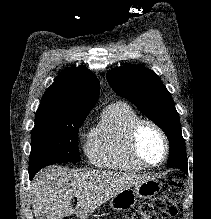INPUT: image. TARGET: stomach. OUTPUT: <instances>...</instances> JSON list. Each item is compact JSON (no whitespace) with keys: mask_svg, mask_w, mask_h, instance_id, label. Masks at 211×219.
Segmentation results:
<instances>
[{"mask_svg":"<svg viewBox=\"0 0 211 219\" xmlns=\"http://www.w3.org/2000/svg\"><path fill=\"white\" fill-rule=\"evenodd\" d=\"M160 190V182L155 178H149L132 188L119 192L111 198L109 206L114 211H124L133 208L137 202V198L149 199Z\"/></svg>","mask_w":211,"mask_h":219,"instance_id":"stomach-1","label":"stomach"}]
</instances>
